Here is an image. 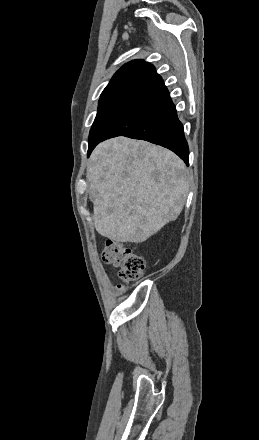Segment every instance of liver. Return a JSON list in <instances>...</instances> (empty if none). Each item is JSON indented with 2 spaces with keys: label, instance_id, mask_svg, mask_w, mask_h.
I'll return each instance as SVG.
<instances>
[{
  "label": "liver",
  "instance_id": "obj_1",
  "mask_svg": "<svg viewBox=\"0 0 259 440\" xmlns=\"http://www.w3.org/2000/svg\"><path fill=\"white\" fill-rule=\"evenodd\" d=\"M96 231L114 242L142 243L180 215L188 194L184 162L146 141L100 143L87 168Z\"/></svg>",
  "mask_w": 259,
  "mask_h": 440
}]
</instances>
